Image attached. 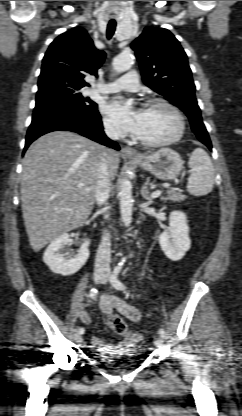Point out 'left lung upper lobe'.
<instances>
[{"instance_id":"left-lung-upper-lobe-1","label":"left lung upper lobe","mask_w":242,"mask_h":416,"mask_svg":"<svg viewBox=\"0 0 242 416\" xmlns=\"http://www.w3.org/2000/svg\"><path fill=\"white\" fill-rule=\"evenodd\" d=\"M131 47L143 82L187 115L200 141L209 138L197 105L187 55L174 35L167 29L146 27Z\"/></svg>"}]
</instances>
